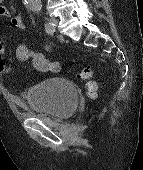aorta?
Here are the masks:
<instances>
[{
	"label": "aorta",
	"instance_id": "obj_1",
	"mask_svg": "<svg viewBox=\"0 0 143 170\" xmlns=\"http://www.w3.org/2000/svg\"><path fill=\"white\" fill-rule=\"evenodd\" d=\"M25 3L27 7L34 12H38L41 10V0H25Z\"/></svg>",
	"mask_w": 143,
	"mask_h": 170
}]
</instances>
